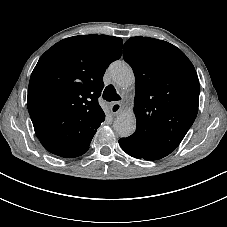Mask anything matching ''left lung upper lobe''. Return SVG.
<instances>
[{
    "mask_svg": "<svg viewBox=\"0 0 227 227\" xmlns=\"http://www.w3.org/2000/svg\"><path fill=\"white\" fill-rule=\"evenodd\" d=\"M123 58L133 68L136 84L134 137L171 153L193 124L199 104L194 66L176 46L149 37H131Z\"/></svg>",
    "mask_w": 227,
    "mask_h": 227,
    "instance_id": "left-lung-upper-lobe-1",
    "label": "left lung upper lobe"
}]
</instances>
